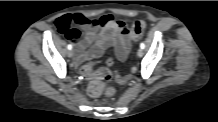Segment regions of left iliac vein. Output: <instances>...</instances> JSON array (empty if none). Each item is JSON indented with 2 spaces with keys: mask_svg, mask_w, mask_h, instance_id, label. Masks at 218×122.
Here are the masks:
<instances>
[{
  "mask_svg": "<svg viewBox=\"0 0 218 122\" xmlns=\"http://www.w3.org/2000/svg\"><path fill=\"white\" fill-rule=\"evenodd\" d=\"M137 55H138L139 57H142V56H143V50H142V48H139V49H138Z\"/></svg>",
  "mask_w": 218,
  "mask_h": 122,
  "instance_id": "4c4485c4",
  "label": "left iliac vein"
}]
</instances>
